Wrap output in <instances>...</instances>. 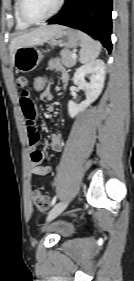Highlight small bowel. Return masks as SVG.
<instances>
[{
	"label": "small bowel",
	"instance_id": "small-bowel-1",
	"mask_svg": "<svg viewBox=\"0 0 134 281\" xmlns=\"http://www.w3.org/2000/svg\"><path fill=\"white\" fill-rule=\"evenodd\" d=\"M49 67L51 70H54L59 74L62 84L67 85L69 82V75L61 66L59 60L56 58L51 59L49 61ZM15 83L20 91V106L27 126V131L29 133L30 171L35 176L46 177L52 172L54 164L48 166L40 165L44 159V155L43 152L38 149L39 134L37 132L36 125L37 109L32 97L30 79L26 75H19L16 77ZM40 98L47 101H51L53 99L49 85L46 90L40 94ZM50 147L54 152H61L63 149L62 136L59 134L51 135Z\"/></svg>",
	"mask_w": 134,
	"mask_h": 281
}]
</instances>
